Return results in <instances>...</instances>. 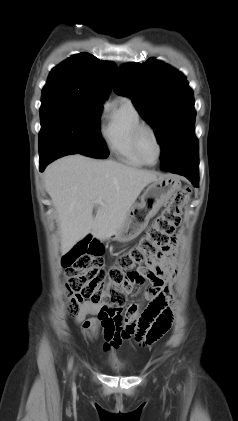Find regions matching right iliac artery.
<instances>
[{"label":"right iliac artery","mask_w":238,"mask_h":421,"mask_svg":"<svg viewBox=\"0 0 238 421\" xmlns=\"http://www.w3.org/2000/svg\"><path fill=\"white\" fill-rule=\"evenodd\" d=\"M71 367H72V360L70 361V363H69V365H68V368H69V369H71Z\"/></svg>","instance_id":"right-iliac-artery-1"}]
</instances>
